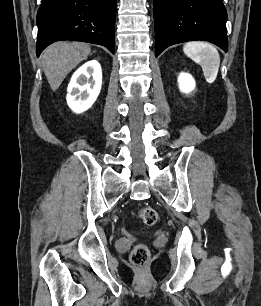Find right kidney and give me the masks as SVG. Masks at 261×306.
<instances>
[{"label":"right kidney","instance_id":"1","mask_svg":"<svg viewBox=\"0 0 261 306\" xmlns=\"http://www.w3.org/2000/svg\"><path fill=\"white\" fill-rule=\"evenodd\" d=\"M102 85V70L98 61L83 64L73 74L67 88V103L75 113L88 110L96 101Z\"/></svg>","mask_w":261,"mask_h":306}]
</instances>
